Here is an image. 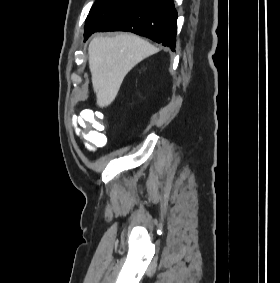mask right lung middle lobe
Here are the masks:
<instances>
[{"instance_id":"1","label":"right lung middle lobe","mask_w":280,"mask_h":283,"mask_svg":"<svg viewBox=\"0 0 280 283\" xmlns=\"http://www.w3.org/2000/svg\"><path fill=\"white\" fill-rule=\"evenodd\" d=\"M137 1L138 0H96L86 20L85 38L91 35L109 17Z\"/></svg>"}]
</instances>
